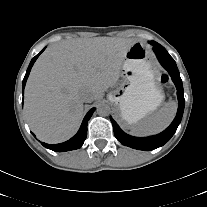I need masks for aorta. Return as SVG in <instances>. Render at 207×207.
I'll use <instances>...</instances> for the list:
<instances>
[{
    "instance_id": "obj_1",
    "label": "aorta",
    "mask_w": 207,
    "mask_h": 207,
    "mask_svg": "<svg viewBox=\"0 0 207 207\" xmlns=\"http://www.w3.org/2000/svg\"><path fill=\"white\" fill-rule=\"evenodd\" d=\"M97 113L100 115V116H108L111 112V108L108 104L106 103H100L98 106H97V109H96Z\"/></svg>"
}]
</instances>
